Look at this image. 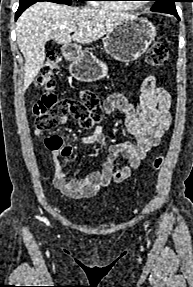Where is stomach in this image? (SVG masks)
Instances as JSON below:
<instances>
[{
    "instance_id": "obj_1",
    "label": "stomach",
    "mask_w": 193,
    "mask_h": 287,
    "mask_svg": "<svg viewBox=\"0 0 193 287\" xmlns=\"http://www.w3.org/2000/svg\"><path fill=\"white\" fill-rule=\"evenodd\" d=\"M156 27L146 18L133 17L116 26L103 38L107 54L130 63L141 57L155 41ZM63 55L71 61L69 71L81 82H92L107 75V66L89 50L77 45L64 46Z\"/></svg>"
}]
</instances>
